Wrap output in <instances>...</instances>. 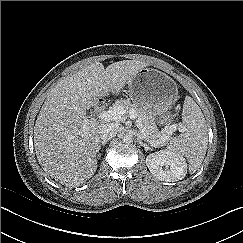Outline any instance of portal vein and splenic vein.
Returning <instances> with one entry per match:
<instances>
[{"mask_svg": "<svg viewBox=\"0 0 243 243\" xmlns=\"http://www.w3.org/2000/svg\"><path fill=\"white\" fill-rule=\"evenodd\" d=\"M128 117L132 120H136L138 128L141 130L143 135L146 138V134L142 128V123L139 118H137V112L134 109H131L128 111ZM126 115V110L122 106H115L112 109H109L107 111H102L98 114V117L105 121H116V120H122L124 116ZM170 139V134H167L163 137V142Z\"/></svg>", "mask_w": 243, "mask_h": 243, "instance_id": "18ae733b", "label": "portal vein and splenic vein"}]
</instances>
